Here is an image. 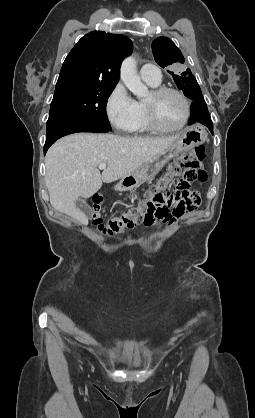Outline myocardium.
<instances>
[{
    "label": "myocardium",
    "instance_id": "f54148a6",
    "mask_svg": "<svg viewBox=\"0 0 255 418\" xmlns=\"http://www.w3.org/2000/svg\"><path fill=\"white\" fill-rule=\"evenodd\" d=\"M167 93H173L179 96L182 99L184 106H185L184 119L178 126H175V127H165L161 125L157 117L156 100ZM151 94L153 96V101L151 102L145 101L144 104H145L147 122H148L149 127L152 130L156 132H160V133H174V132L180 131L187 125L191 116V103L188 97L182 91L173 87L162 86V87L154 88Z\"/></svg>",
    "mask_w": 255,
    "mask_h": 418
}]
</instances>
